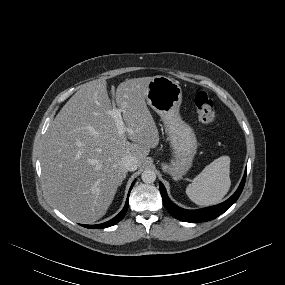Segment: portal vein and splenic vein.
Masks as SVG:
<instances>
[{"label":"portal vein and splenic vein","instance_id":"obj_1","mask_svg":"<svg viewBox=\"0 0 285 285\" xmlns=\"http://www.w3.org/2000/svg\"><path fill=\"white\" fill-rule=\"evenodd\" d=\"M121 109L113 108L107 111V114L111 115L116 123L118 134L124 136L125 132L128 130L122 120Z\"/></svg>","mask_w":285,"mask_h":285}]
</instances>
